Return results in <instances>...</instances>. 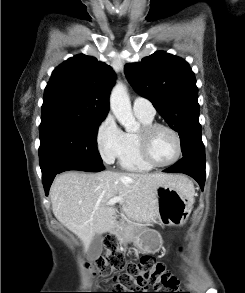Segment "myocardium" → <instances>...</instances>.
Listing matches in <instances>:
<instances>
[{
	"mask_svg": "<svg viewBox=\"0 0 245 293\" xmlns=\"http://www.w3.org/2000/svg\"><path fill=\"white\" fill-rule=\"evenodd\" d=\"M160 128L168 130L173 135L176 142L175 156L170 161L165 163H158L154 161L149 151L151 136L157 129H160ZM137 139H138V149L142 159L152 167L163 168V167L171 166L174 163H176L181 156V153H182L181 137L179 133L177 132V130H175L173 127L167 124L152 123L150 125L143 126L141 130L137 133Z\"/></svg>",
	"mask_w": 245,
	"mask_h": 293,
	"instance_id": "1",
	"label": "myocardium"
}]
</instances>
